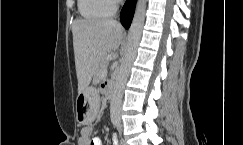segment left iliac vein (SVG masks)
<instances>
[{
    "label": "left iliac vein",
    "mask_w": 243,
    "mask_h": 145,
    "mask_svg": "<svg viewBox=\"0 0 243 145\" xmlns=\"http://www.w3.org/2000/svg\"><path fill=\"white\" fill-rule=\"evenodd\" d=\"M120 145H128V144H127L126 140L122 138L120 141Z\"/></svg>",
    "instance_id": "left-iliac-vein-1"
}]
</instances>
